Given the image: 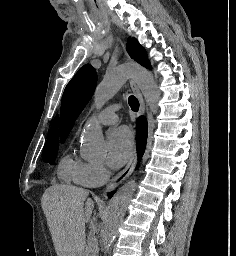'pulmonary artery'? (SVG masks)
Returning a JSON list of instances; mask_svg holds the SVG:
<instances>
[{"label":"pulmonary artery","instance_id":"pulmonary-artery-1","mask_svg":"<svg viewBox=\"0 0 236 256\" xmlns=\"http://www.w3.org/2000/svg\"><path fill=\"white\" fill-rule=\"evenodd\" d=\"M117 108H106L99 112L97 115L98 122L102 125H112L117 123L118 115H117Z\"/></svg>","mask_w":236,"mask_h":256}]
</instances>
